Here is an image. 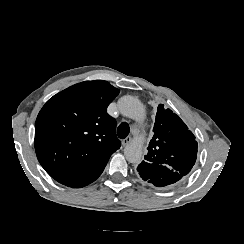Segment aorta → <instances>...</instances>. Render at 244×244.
Returning <instances> with one entry per match:
<instances>
[{"label": "aorta", "mask_w": 244, "mask_h": 244, "mask_svg": "<svg viewBox=\"0 0 244 244\" xmlns=\"http://www.w3.org/2000/svg\"><path fill=\"white\" fill-rule=\"evenodd\" d=\"M121 113L136 121L143 120L145 109L143 104L132 96H124L118 102ZM124 155L130 163H140L143 157L142 141L135 139L124 149Z\"/></svg>", "instance_id": "aorta-1"}]
</instances>
